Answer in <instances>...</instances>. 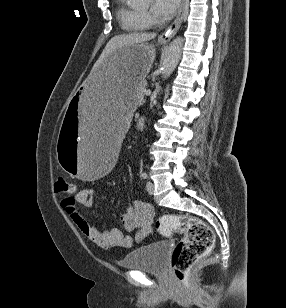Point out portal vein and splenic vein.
Wrapping results in <instances>:
<instances>
[{
	"label": "portal vein and splenic vein",
	"mask_w": 286,
	"mask_h": 308,
	"mask_svg": "<svg viewBox=\"0 0 286 308\" xmlns=\"http://www.w3.org/2000/svg\"><path fill=\"white\" fill-rule=\"evenodd\" d=\"M144 92H145L146 95H150L151 94L150 90H144Z\"/></svg>",
	"instance_id": "portal-vein-and-splenic-vein-1"
}]
</instances>
